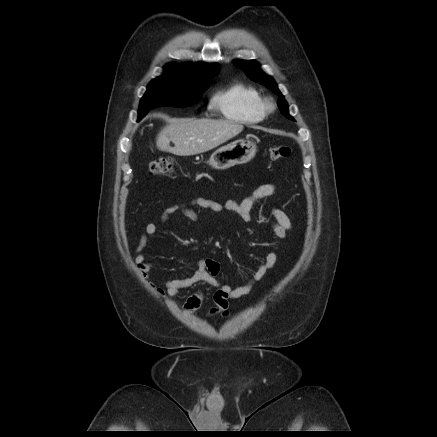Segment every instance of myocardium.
Returning <instances> with one entry per match:
<instances>
[{"mask_svg": "<svg viewBox=\"0 0 437 437\" xmlns=\"http://www.w3.org/2000/svg\"><path fill=\"white\" fill-rule=\"evenodd\" d=\"M262 106L265 112H271L275 108L274 103L270 99L262 100Z\"/></svg>", "mask_w": 437, "mask_h": 437, "instance_id": "myocardium-1", "label": "myocardium"}]
</instances>
